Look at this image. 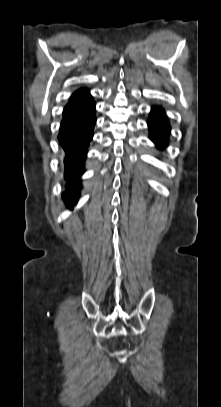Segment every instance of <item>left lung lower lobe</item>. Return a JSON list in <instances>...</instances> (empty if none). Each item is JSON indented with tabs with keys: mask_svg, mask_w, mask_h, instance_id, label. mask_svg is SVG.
<instances>
[{
	"mask_svg": "<svg viewBox=\"0 0 221 407\" xmlns=\"http://www.w3.org/2000/svg\"><path fill=\"white\" fill-rule=\"evenodd\" d=\"M150 139L158 148H164L168 145V136L170 134V125L165 112L161 107H152L150 118L148 120Z\"/></svg>",
	"mask_w": 221,
	"mask_h": 407,
	"instance_id": "left-lung-lower-lobe-1",
	"label": "left lung lower lobe"
}]
</instances>
